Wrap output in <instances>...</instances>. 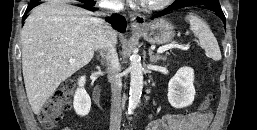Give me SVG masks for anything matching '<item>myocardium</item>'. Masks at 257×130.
<instances>
[{
    "mask_svg": "<svg viewBox=\"0 0 257 130\" xmlns=\"http://www.w3.org/2000/svg\"><path fill=\"white\" fill-rule=\"evenodd\" d=\"M173 0H158L155 2H144L142 6L151 11L160 10L167 7Z\"/></svg>",
    "mask_w": 257,
    "mask_h": 130,
    "instance_id": "myocardium-1",
    "label": "myocardium"
}]
</instances>
